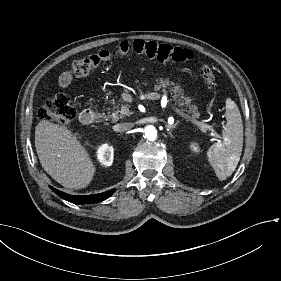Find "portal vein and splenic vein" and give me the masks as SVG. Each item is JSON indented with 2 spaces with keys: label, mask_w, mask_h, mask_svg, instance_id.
I'll list each match as a JSON object with an SVG mask.
<instances>
[{
  "label": "portal vein and splenic vein",
  "mask_w": 281,
  "mask_h": 281,
  "mask_svg": "<svg viewBox=\"0 0 281 281\" xmlns=\"http://www.w3.org/2000/svg\"><path fill=\"white\" fill-rule=\"evenodd\" d=\"M138 96L140 98H142L143 101H148V100H161L162 99V94L161 93H143V92H139L138 93ZM132 104L133 105H136L137 104V101L136 100H133L132 101ZM169 105H171V107L173 108V110L176 112V113H179V114H182L183 116V119L186 121V122H190L192 124H195V126L197 127H200L202 128V130L204 131H210L212 134H213V138L215 139L216 143L217 144H220L221 143V139L219 138V135L217 134V131L216 129L218 128H222L225 126V121L224 120H221L220 123L218 124H210V125H205L201 120H193L192 117H190V114L189 113H186L184 112L183 110H178L175 106V104H172V102L170 101L169 102ZM189 117V119L187 118Z\"/></svg>",
  "instance_id": "portal-vein-and-splenic-vein-1"
}]
</instances>
